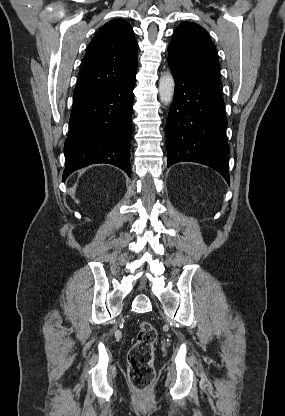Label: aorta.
Here are the masks:
<instances>
[{"label": "aorta", "instance_id": "aorta-1", "mask_svg": "<svg viewBox=\"0 0 285 416\" xmlns=\"http://www.w3.org/2000/svg\"><path fill=\"white\" fill-rule=\"evenodd\" d=\"M174 95V79L170 73H165L159 80V96L164 104L172 101Z\"/></svg>", "mask_w": 285, "mask_h": 416}]
</instances>
